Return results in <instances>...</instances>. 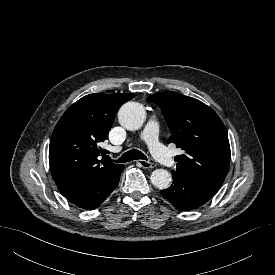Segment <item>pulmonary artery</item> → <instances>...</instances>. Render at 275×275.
Instances as JSON below:
<instances>
[{
  "label": "pulmonary artery",
  "mask_w": 275,
  "mask_h": 275,
  "mask_svg": "<svg viewBox=\"0 0 275 275\" xmlns=\"http://www.w3.org/2000/svg\"><path fill=\"white\" fill-rule=\"evenodd\" d=\"M142 139L157 161L168 167L175 165L172 155L159 139V125L156 121H148L142 132Z\"/></svg>",
  "instance_id": "pulmonary-artery-1"
}]
</instances>
